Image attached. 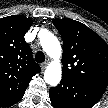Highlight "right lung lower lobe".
Returning <instances> with one entry per match:
<instances>
[{
	"label": "right lung lower lobe",
	"instance_id": "98d812e1",
	"mask_svg": "<svg viewBox=\"0 0 108 108\" xmlns=\"http://www.w3.org/2000/svg\"><path fill=\"white\" fill-rule=\"evenodd\" d=\"M23 96H24V93L19 98L15 99V100H12V101H9L5 104H0V106L9 107V106L15 104L16 102H18Z\"/></svg>",
	"mask_w": 108,
	"mask_h": 108
}]
</instances>
